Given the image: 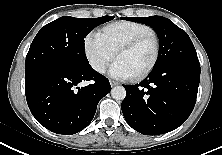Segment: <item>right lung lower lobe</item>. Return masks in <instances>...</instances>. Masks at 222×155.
Returning <instances> with one entry per match:
<instances>
[{"mask_svg":"<svg viewBox=\"0 0 222 155\" xmlns=\"http://www.w3.org/2000/svg\"><path fill=\"white\" fill-rule=\"evenodd\" d=\"M91 81L85 87L81 82ZM111 90L109 80L89 64L50 67L25 77V94L36 120L48 130L72 135L92 121L97 104Z\"/></svg>","mask_w":222,"mask_h":155,"instance_id":"right-lung-lower-lobe-1","label":"right lung lower lobe"}]
</instances>
